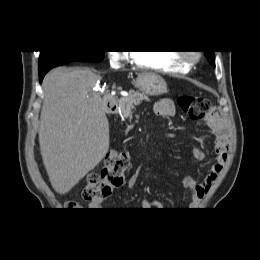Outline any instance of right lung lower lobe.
Returning <instances> with one entry per match:
<instances>
[{
	"instance_id": "1",
	"label": "right lung lower lobe",
	"mask_w": 260,
	"mask_h": 260,
	"mask_svg": "<svg viewBox=\"0 0 260 260\" xmlns=\"http://www.w3.org/2000/svg\"><path fill=\"white\" fill-rule=\"evenodd\" d=\"M46 73H47V72L39 73L40 82H42V80H43V78H44V76H45Z\"/></svg>"
}]
</instances>
